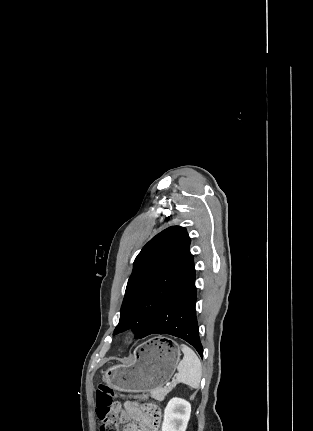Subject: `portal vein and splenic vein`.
Returning a JSON list of instances; mask_svg holds the SVG:
<instances>
[{
  "label": "portal vein and splenic vein",
  "mask_w": 313,
  "mask_h": 431,
  "mask_svg": "<svg viewBox=\"0 0 313 431\" xmlns=\"http://www.w3.org/2000/svg\"><path fill=\"white\" fill-rule=\"evenodd\" d=\"M174 381V380H173ZM171 384V382H169L167 385L169 386Z\"/></svg>",
  "instance_id": "obj_1"
}]
</instances>
